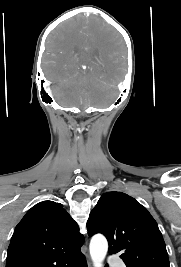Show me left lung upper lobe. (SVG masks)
Masks as SVG:
<instances>
[{
    "instance_id": "5c2ea615",
    "label": "left lung upper lobe",
    "mask_w": 181,
    "mask_h": 267,
    "mask_svg": "<svg viewBox=\"0 0 181 267\" xmlns=\"http://www.w3.org/2000/svg\"><path fill=\"white\" fill-rule=\"evenodd\" d=\"M88 235L102 233L109 254H120L127 267H170L166 245L148 210L122 192H106L91 211Z\"/></svg>"
}]
</instances>
